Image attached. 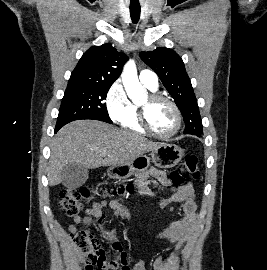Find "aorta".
<instances>
[{"label":"aorta","instance_id":"aorta-1","mask_svg":"<svg viewBox=\"0 0 267 270\" xmlns=\"http://www.w3.org/2000/svg\"><path fill=\"white\" fill-rule=\"evenodd\" d=\"M121 77L127 95L132 101L145 97L146 90L138 80L136 64L133 60L125 64Z\"/></svg>","mask_w":267,"mask_h":270}]
</instances>
